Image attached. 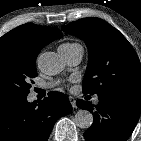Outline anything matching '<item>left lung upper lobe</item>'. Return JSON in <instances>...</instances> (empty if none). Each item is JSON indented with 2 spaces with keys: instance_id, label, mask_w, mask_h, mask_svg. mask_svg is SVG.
Segmentation results:
<instances>
[{
  "instance_id": "1",
  "label": "left lung upper lobe",
  "mask_w": 141,
  "mask_h": 141,
  "mask_svg": "<svg viewBox=\"0 0 141 141\" xmlns=\"http://www.w3.org/2000/svg\"><path fill=\"white\" fill-rule=\"evenodd\" d=\"M84 40L89 63L83 79L84 94L141 96V64L128 40L102 19L91 17L62 27Z\"/></svg>"
}]
</instances>
